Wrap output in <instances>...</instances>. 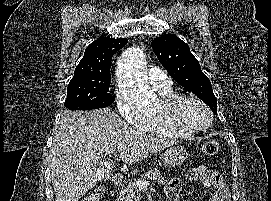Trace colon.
<instances>
[{
    "label": "colon",
    "mask_w": 271,
    "mask_h": 201,
    "mask_svg": "<svg viewBox=\"0 0 271 201\" xmlns=\"http://www.w3.org/2000/svg\"><path fill=\"white\" fill-rule=\"evenodd\" d=\"M217 151H218V145L215 141L205 142L201 146V152L205 156H210V157L215 156L217 154ZM102 194H103L102 188H96L92 193L85 196L82 199V201H100Z\"/></svg>",
    "instance_id": "obj_1"
}]
</instances>
